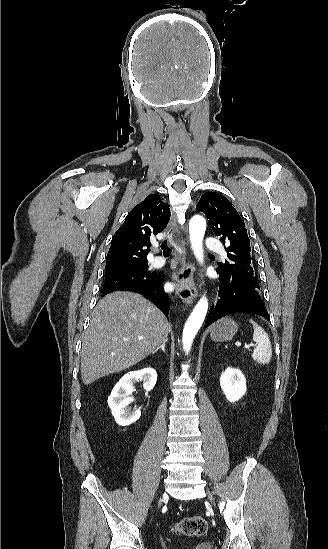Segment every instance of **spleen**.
<instances>
[{"label":"spleen","instance_id":"obj_1","mask_svg":"<svg viewBox=\"0 0 328 549\" xmlns=\"http://www.w3.org/2000/svg\"><path fill=\"white\" fill-rule=\"evenodd\" d=\"M250 323H252L254 329L253 341L257 345L256 349L253 351L252 359H254L256 363H260V365H268L272 357L270 339L266 331H264L262 327H259L255 321L250 319Z\"/></svg>","mask_w":328,"mask_h":549}]
</instances>
